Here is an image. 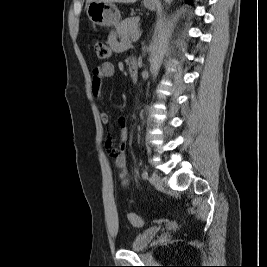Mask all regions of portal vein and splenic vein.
<instances>
[{"mask_svg":"<svg viewBox=\"0 0 267 267\" xmlns=\"http://www.w3.org/2000/svg\"><path fill=\"white\" fill-rule=\"evenodd\" d=\"M140 36H141V32H139L137 35L132 36V37H131V40H132L133 42H136V41L139 39Z\"/></svg>","mask_w":267,"mask_h":267,"instance_id":"portal-vein-and-splenic-vein-1","label":"portal vein and splenic vein"}]
</instances>
